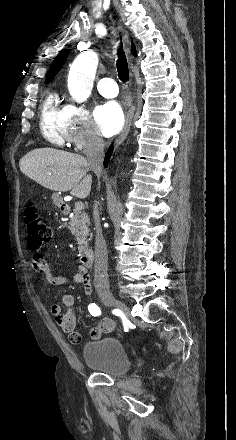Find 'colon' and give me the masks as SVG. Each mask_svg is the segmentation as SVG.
Masks as SVG:
<instances>
[{"label":"colon","mask_w":236,"mask_h":440,"mask_svg":"<svg viewBox=\"0 0 236 440\" xmlns=\"http://www.w3.org/2000/svg\"><path fill=\"white\" fill-rule=\"evenodd\" d=\"M27 244L32 249L40 248L51 238V229L43 217L34 208H29L25 213Z\"/></svg>","instance_id":"obj_1"}]
</instances>
